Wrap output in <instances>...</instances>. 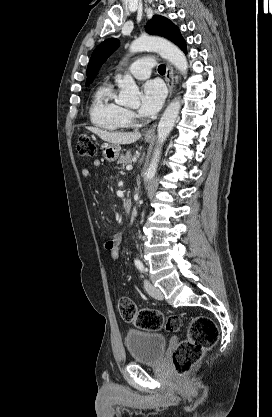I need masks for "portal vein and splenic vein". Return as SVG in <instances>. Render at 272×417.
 I'll list each match as a JSON object with an SVG mask.
<instances>
[{
  "instance_id": "1",
  "label": "portal vein and splenic vein",
  "mask_w": 272,
  "mask_h": 417,
  "mask_svg": "<svg viewBox=\"0 0 272 417\" xmlns=\"http://www.w3.org/2000/svg\"><path fill=\"white\" fill-rule=\"evenodd\" d=\"M132 168H133L132 165H127L126 166V170H132Z\"/></svg>"
}]
</instances>
